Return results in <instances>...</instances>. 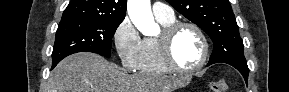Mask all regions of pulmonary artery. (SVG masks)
I'll list each match as a JSON object with an SVG mask.
<instances>
[{
	"instance_id": "e3ab8cb5",
	"label": "pulmonary artery",
	"mask_w": 289,
	"mask_h": 92,
	"mask_svg": "<svg viewBox=\"0 0 289 92\" xmlns=\"http://www.w3.org/2000/svg\"><path fill=\"white\" fill-rule=\"evenodd\" d=\"M153 14L157 18H172L174 17V13L171 7L168 5L161 3V2H155L152 7Z\"/></svg>"
}]
</instances>
